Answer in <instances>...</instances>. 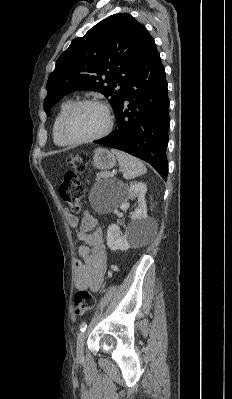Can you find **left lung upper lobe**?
<instances>
[{
	"label": "left lung upper lobe",
	"mask_w": 232,
	"mask_h": 399,
	"mask_svg": "<svg viewBox=\"0 0 232 399\" xmlns=\"http://www.w3.org/2000/svg\"><path fill=\"white\" fill-rule=\"evenodd\" d=\"M152 39L128 13L111 15L74 39L49 76L43 103L47 115L56 102L75 90L104 94L116 113L128 79Z\"/></svg>",
	"instance_id": "5c2ea615"
}]
</instances>
